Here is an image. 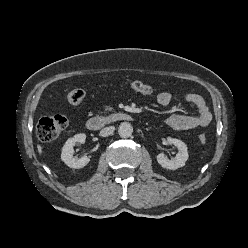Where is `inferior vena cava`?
Returning a JSON list of instances; mask_svg holds the SVG:
<instances>
[{"instance_id":"inferior-vena-cava-1","label":"inferior vena cava","mask_w":248,"mask_h":248,"mask_svg":"<svg viewBox=\"0 0 248 248\" xmlns=\"http://www.w3.org/2000/svg\"><path fill=\"white\" fill-rule=\"evenodd\" d=\"M115 130L114 126H109V127H105L100 131V135L102 137H107L109 135H111Z\"/></svg>"}]
</instances>
